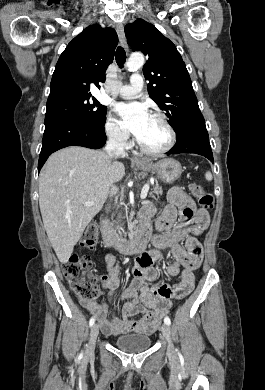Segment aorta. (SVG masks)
Returning a JSON list of instances; mask_svg holds the SVG:
<instances>
[{
	"label": "aorta",
	"instance_id": "obj_1",
	"mask_svg": "<svg viewBox=\"0 0 265 390\" xmlns=\"http://www.w3.org/2000/svg\"><path fill=\"white\" fill-rule=\"evenodd\" d=\"M143 65H144V56L141 53L132 54L126 63V67L129 70H133V71L141 68Z\"/></svg>",
	"mask_w": 265,
	"mask_h": 390
}]
</instances>
